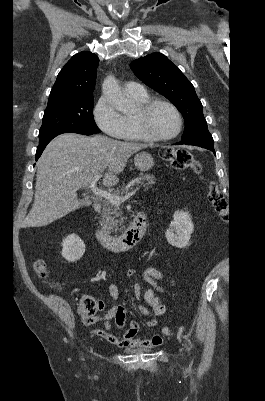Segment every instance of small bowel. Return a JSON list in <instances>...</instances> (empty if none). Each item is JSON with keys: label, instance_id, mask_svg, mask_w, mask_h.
<instances>
[{"label": "small bowel", "instance_id": "obj_1", "mask_svg": "<svg viewBox=\"0 0 265 401\" xmlns=\"http://www.w3.org/2000/svg\"><path fill=\"white\" fill-rule=\"evenodd\" d=\"M133 270L129 273L133 274ZM144 279L150 284V287L145 291L141 290L139 284L133 287L135 297L141 301L144 306H138V310L143 315L148 316L146 322L148 327H156L159 323V318L165 313L166 308L161 300L156 296V292H166L162 286L164 274L155 267H148L143 272ZM108 292L114 301V305L102 317H89L83 320L84 324H93L96 322H103L105 330H94V335L100 336L110 344L116 347H130L135 349H151L158 347L162 338L160 335H154L149 339L136 338L139 332V324L132 320L129 327L124 331L122 336H116L111 332L110 320L114 319L118 328L124 329L126 324L127 308L118 303L119 289L117 285L110 283L108 285ZM103 303L102 308L103 309Z\"/></svg>", "mask_w": 265, "mask_h": 401}]
</instances>
